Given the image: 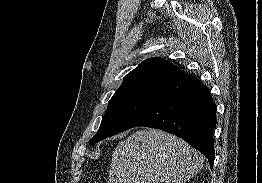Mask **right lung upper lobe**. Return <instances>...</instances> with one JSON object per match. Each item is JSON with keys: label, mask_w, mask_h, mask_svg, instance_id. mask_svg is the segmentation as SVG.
Returning a JSON list of instances; mask_svg holds the SVG:
<instances>
[{"label": "right lung upper lobe", "mask_w": 262, "mask_h": 183, "mask_svg": "<svg viewBox=\"0 0 262 183\" xmlns=\"http://www.w3.org/2000/svg\"><path fill=\"white\" fill-rule=\"evenodd\" d=\"M183 75L185 72L175 65L160 58H150L124 77L116 93L140 90L159 91Z\"/></svg>", "instance_id": "right-lung-upper-lobe-1"}]
</instances>
